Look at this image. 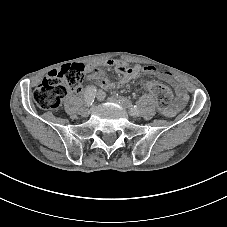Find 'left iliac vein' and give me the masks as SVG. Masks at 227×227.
<instances>
[{
    "instance_id": "1",
    "label": "left iliac vein",
    "mask_w": 227,
    "mask_h": 227,
    "mask_svg": "<svg viewBox=\"0 0 227 227\" xmlns=\"http://www.w3.org/2000/svg\"><path fill=\"white\" fill-rule=\"evenodd\" d=\"M108 101H110L111 103H119L121 107L126 108V105L122 101H119L115 98H108ZM134 116H137V115H134Z\"/></svg>"
}]
</instances>
